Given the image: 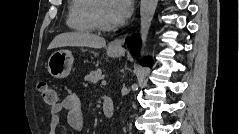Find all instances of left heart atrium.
Segmentation results:
<instances>
[{"mask_svg": "<svg viewBox=\"0 0 239 134\" xmlns=\"http://www.w3.org/2000/svg\"><path fill=\"white\" fill-rule=\"evenodd\" d=\"M132 12L131 0L109 1V14L115 25L123 23Z\"/></svg>", "mask_w": 239, "mask_h": 134, "instance_id": "1", "label": "left heart atrium"}]
</instances>
